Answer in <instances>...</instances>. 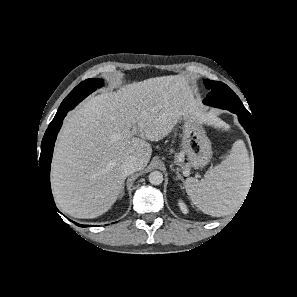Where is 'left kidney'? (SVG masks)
Wrapping results in <instances>:
<instances>
[{
    "mask_svg": "<svg viewBox=\"0 0 297 297\" xmlns=\"http://www.w3.org/2000/svg\"><path fill=\"white\" fill-rule=\"evenodd\" d=\"M179 207L184 214L188 213L187 206L185 205V203L182 200H179Z\"/></svg>",
    "mask_w": 297,
    "mask_h": 297,
    "instance_id": "1",
    "label": "left kidney"
}]
</instances>
